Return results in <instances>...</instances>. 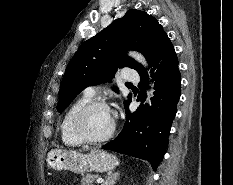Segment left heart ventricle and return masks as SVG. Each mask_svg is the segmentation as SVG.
<instances>
[{
  "mask_svg": "<svg viewBox=\"0 0 233 185\" xmlns=\"http://www.w3.org/2000/svg\"><path fill=\"white\" fill-rule=\"evenodd\" d=\"M113 125L111 112L104 108H95L84 119L87 134L97 138L106 135Z\"/></svg>",
  "mask_w": 233,
  "mask_h": 185,
  "instance_id": "b2bd125f",
  "label": "left heart ventricle"
}]
</instances>
